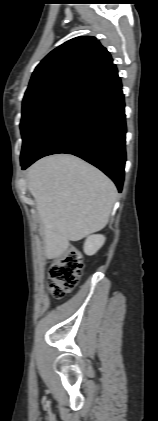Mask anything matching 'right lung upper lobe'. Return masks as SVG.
I'll use <instances>...</instances> for the list:
<instances>
[{
    "label": "right lung upper lobe",
    "mask_w": 158,
    "mask_h": 421,
    "mask_svg": "<svg viewBox=\"0 0 158 421\" xmlns=\"http://www.w3.org/2000/svg\"><path fill=\"white\" fill-rule=\"evenodd\" d=\"M112 63L111 55L95 37L71 39L38 64L25 95L60 82L83 84Z\"/></svg>",
    "instance_id": "obj_1"
}]
</instances>
